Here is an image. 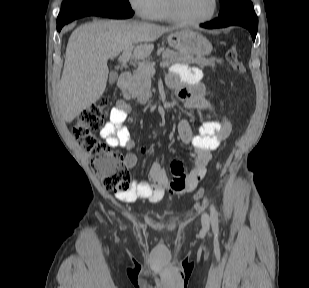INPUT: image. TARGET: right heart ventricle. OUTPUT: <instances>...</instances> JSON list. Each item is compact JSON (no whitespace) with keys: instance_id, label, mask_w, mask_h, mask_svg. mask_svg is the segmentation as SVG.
Returning <instances> with one entry per match:
<instances>
[{"instance_id":"obj_1","label":"right heart ventricle","mask_w":309,"mask_h":288,"mask_svg":"<svg viewBox=\"0 0 309 288\" xmlns=\"http://www.w3.org/2000/svg\"><path fill=\"white\" fill-rule=\"evenodd\" d=\"M153 18L156 19V20H160V21H170V20H172L169 13H168V10H167L166 0H160L159 1V5L157 7V10H156Z\"/></svg>"}]
</instances>
